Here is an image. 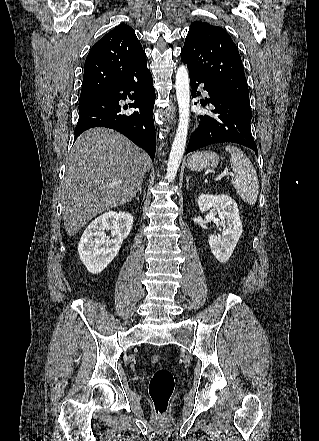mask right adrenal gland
<instances>
[{"label":"right adrenal gland","instance_id":"1","mask_svg":"<svg viewBox=\"0 0 319 441\" xmlns=\"http://www.w3.org/2000/svg\"><path fill=\"white\" fill-rule=\"evenodd\" d=\"M141 185H142V183H140V184L138 185V188H137V190H136V192H135V194H134V197H136L137 192H139L140 194H142V187H141Z\"/></svg>","mask_w":319,"mask_h":441}]
</instances>
